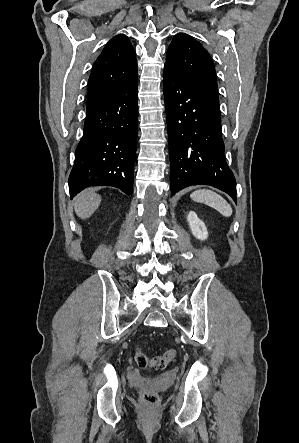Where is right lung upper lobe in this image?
Here are the masks:
<instances>
[{
  "label": "right lung upper lobe",
  "instance_id": "obj_1",
  "mask_svg": "<svg viewBox=\"0 0 299 443\" xmlns=\"http://www.w3.org/2000/svg\"><path fill=\"white\" fill-rule=\"evenodd\" d=\"M135 78V50L127 36L119 34L107 43L93 65L88 81L87 108L120 90Z\"/></svg>",
  "mask_w": 299,
  "mask_h": 443
}]
</instances>
